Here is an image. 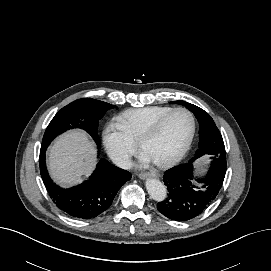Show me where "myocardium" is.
<instances>
[{
  "label": "myocardium",
  "instance_id": "myocardium-1",
  "mask_svg": "<svg viewBox=\"0 0 271 271\" xmlns=\"http://www.w3.org/2000/svg\"><path fill=\"white\" fill-rule=\"evenodd\" d=\"M179 111H183V112L187 113L191 118L192 129H191L190 136H189L187 142L185 143V145L183 146V148L180 151H178L175 155H173L169 158H166L164 160H161V161H155V163L160 167H168V166L175 165L180 160H182L185 157V155L188 153V151L190 150V148L193 144L195 135H196V130H197V121H196V117L193 114V112L185 107L173 108L172 110H170L169 112L164 114L161 118H159L156 122H154L148 129H146L142 133V135L139 139V146L142 150H144V146L147 143V141L150 140L153 136H155L159 132V130L161 129L163 124L166 122V120L171 115H173L174 113L179 112Z\"/></svg>",
  "mask_w": 271,
  "mask_h": 271
}]
</instances>
